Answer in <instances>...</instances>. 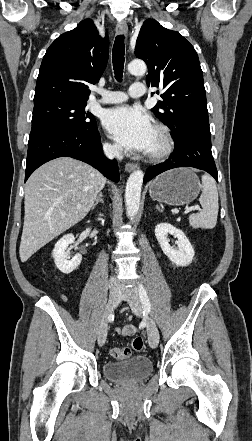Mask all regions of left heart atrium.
<instances>
[{
  "label": "left heart atrium",
  "mask_w": 252,
  "mask_h": 441,
  "mask_svg": "<svg viewBox=\"0 0 252 441\" xmlns=\"http://www.w3.org/2000/svg\"><path fill=\"white\" fill-rule=\"evenodd\" d=\"M103 125L109 135L122 147L131 151L149 152L155 129L148 114L136 107L121 106L109 110Z\"/></svg>",
  "instance_id": "39dd6f15"
}]
</instances>
